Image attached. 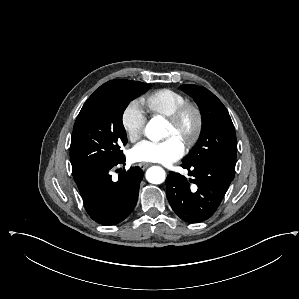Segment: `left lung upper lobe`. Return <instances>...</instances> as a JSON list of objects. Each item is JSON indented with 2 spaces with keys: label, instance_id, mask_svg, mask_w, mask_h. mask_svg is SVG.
Returning a JSON list of instances; mask_svg holds the SVG:
<instances>
[{
  "label": "left lung upper lobe",
  "instance_id": "obj_1",
  "mask_svg": "<svg viewBox=\"0 0 299 299\" xmlns=\"http://www.w3.org/2000/svg\"><path fill=\"white\" fill-rule=\"evenodd\" d=\"M181 89L194 98L202 116L200 137L182 162L189 165L218 162L234 170L237 142L227 109L213 93L204 87L185 84L181 86Z\"/></svg>",
  "mask_w": 299,
  "mask_h": 299
}]
</instances>
